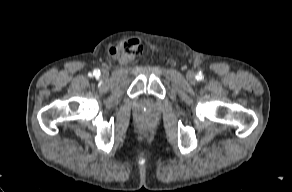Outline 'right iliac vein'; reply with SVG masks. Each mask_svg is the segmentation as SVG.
Returning <instances> with one entry per match:
<instances>
[{
    "mask_svg": "<svg viewBox=\"0 0 292 192\" xmlns=\"http://www.w3.org/2000/svg\"><path fill=\"white\" fill-rule=\"evenodd\" d=\"M101 76H102L103 78H105V77L107 76V72H106V71H103L102 74H101Z\"/></svg>",
    "mask_w": 292,
    "mask_h": 192,
    "instance_id": "1",
    "label": "right iliac vein"
}]
</instances>
